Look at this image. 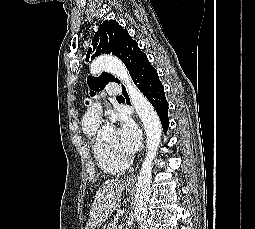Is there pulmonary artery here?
Returning a JSON list of instances; mask_svg holds the SVG:
<instances>
[{
	"label": "pulmonary artery",
	"instance_id": "e3ab8cb5",
	"mask_svg": "<svg viewBox=\"0 0 255 229\" xmlns=\"http://www.w3.org/2000/svg\"><path fill=\"white\" fill-rule=\"evenodd\" d=\"M121 93V88L117 84H109L106 89V95L117 96ZM102 123L101 97L98 96L87 109L84 118V125H100Z\"/></svg>",
	"mask_w": 255,
	"mask_h": 229
}]
</instances>
